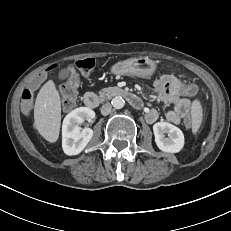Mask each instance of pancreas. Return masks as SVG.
I'll list each match as a JSON object with an SVG mask.
<instances>
[{
	"label": "pancreas",
	"instance_id": "cf45deb5",
	"mask_svg": "<svg viewBox=\"0 0 231 231\" xmlns=\"http://www.w3.org/2000/svg\"><path fill=\"white\" fill-rule=\"evenodd\" d=\"M109 88H104L102 89L99 94H100V99L103 101L108 97V92H109Z\"/></svg>",
	"mask_w": 231,
	"mask_h": 231
}]
</instances>
